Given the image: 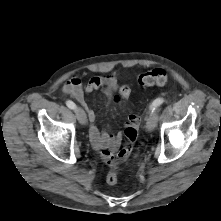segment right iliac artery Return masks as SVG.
Listing matches in <instances>:
<instances>
[{
	"mask_svg": "<svg viewBox=\"0 0 221 221\" xmlns=\"http://www.w3.org/2000/svg\"><path fill=\"white\" fill-rule=\"evenodd\" d=\"M66 105L70 108V109H75L76 108V105L73 101L71 100H68L66 101Z\"/></svg>",
	"mask_w": 221,
	"mask_h": 221,
	"instance_id": "1",
	"label": "right iliac artery"
}]
</instances>
